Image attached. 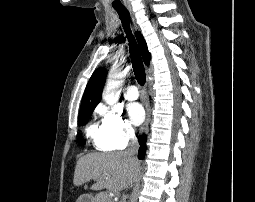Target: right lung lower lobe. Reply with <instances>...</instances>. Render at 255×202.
Here are the masks:
<instances>
[{
  "label": "right lung lower lobe",
  "mask_w": 255,
  "mask_h": 202,
  "mask_svg": "<svg viewBox=\"0 0 255 202\" xmlns=\"http://www.w3.org/2000/svg\"><path fill=\"white\" fill-rule=\"evenodd\" d=\"M139 144H140V148L138 151V158L139 159H143L144 155H145V150H146V136H140L139 137Z\"/></svg>",
  "instance_id": "right-lung-lower-lobe-1"
}]
</instances>
